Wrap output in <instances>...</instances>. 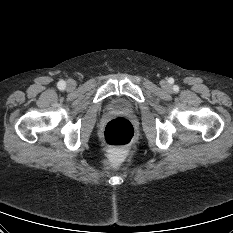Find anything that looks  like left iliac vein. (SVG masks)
Returning <instances> with one entry per match:
<instances>
[{
  "label": "left iliac vein",
  "mask_w": 233,
  "mask_h": 233,
  "mask_svg": "<svg viewBox=\"0 0 233 233\" xmlns=\"http://www.w3.org/2000/svg\"><path fill=\"white\" fill-rule=\"evenodd\" d=\"M163 87L165 88V89H170V86H169V84L167 83V82H164L163 83Z\"/></svg>",
  "instance_id": "1"
}]
</instances>
